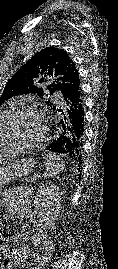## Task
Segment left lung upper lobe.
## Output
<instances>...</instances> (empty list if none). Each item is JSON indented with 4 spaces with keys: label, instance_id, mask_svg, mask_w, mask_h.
Masks as SVG:
<instances>
[{
    "label": "left lung upper lobe",
    "instance_id": "5c2ea615",
    "mask_svg": "<svg viewBox=\"0 0 118 269\" xmlns=\"http://www.w3.org/2000/svg\"><path fill=\"white\" fill-rule=\"evenodd\" d=\"M42 86L49 93H45ZM80 88L73 60L66 51L50 46L35 54L12 76L0 96V105L15 95L32 93L44 99L53 110L55 105L50 96L54 92L60 91L64 97Z\"/></svg>",
    "mask_w": 118,
    "mask_h": 269
}]
</instances>
